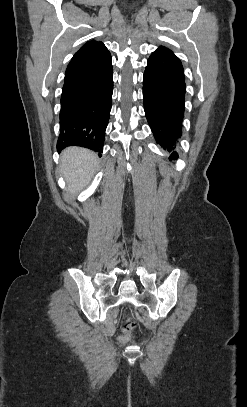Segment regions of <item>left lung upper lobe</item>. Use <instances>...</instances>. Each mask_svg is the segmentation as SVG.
<instances>
[{"mask_svg":"<svg viewBox=\"0 0 247 407\" xmlns=\"http://www.w3.org/2000/svg\"><path fill=\"white\" fill-rule=\"evenodd\" d=\"M161 49H165V50H169V49H167V48H164V47H160ZM170 51V50H169Z\"/></svg>","mask_w":247,"mask_h":407,"instance_id":"1","label":"left lung upper lobe"}]
</instances>
